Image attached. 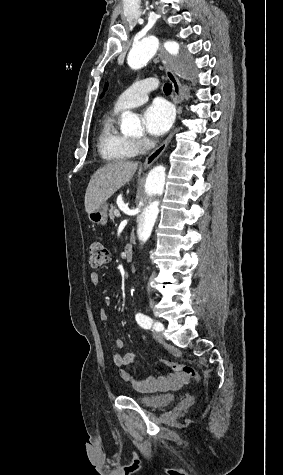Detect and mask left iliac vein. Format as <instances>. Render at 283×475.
<instances>
[{
    "label": "left iliac vein",
    "instance_id": "obj_1",
    "mask_svg": "<svg viewBox=\"0 0 283 475\" xmlns=\"http://www.w3.org/2000/svg\"><path fill=\"white\" fill-rule=\"evenodd\" d=\"M154 338L156 339V341H158L159 343H162L163 342V334L160 333L159 331H155L154 332Z\"/></svg>",
    "mask_w": 283,
    "mask_h": 475
}]
</instances>
